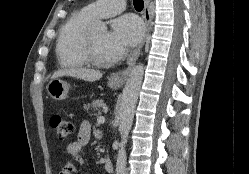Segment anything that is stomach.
<instances>
[{"instance_id":"stomach-1","label":"stomach","mask_w":249,"mask_h":174,"mask_svg":"<svg viewBox=\"0 0 249 174\" xmlns=\"http://www.w3.org/2000/svg\"><path fill=\"white\" fill-rule=\"evenodd\" d=\"M108 85L112 88H117L119 86L111 80L109 81ZM69 89L70 85L61 79H53L47 85L48 94L55 100L66 99L69 93Z\"/></svg>"}]
</instances>
